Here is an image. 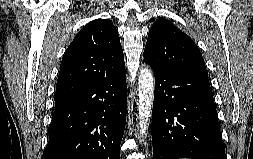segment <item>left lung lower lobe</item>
<instances>
[{"mask_svg":"<svg viewBox=\"0 0 253 159\" xmlns=\"http://www.w3.org/2000/svg\"><path fill=\"white\" fill-rule=\"evenodd\" d=\"M152 69L154 159H226L208 76Z\"/></svg>","mask_w":253,"mask_h":159,"instance_id":"obj_1","label":"left lung lower lobe"}]
</instances>
